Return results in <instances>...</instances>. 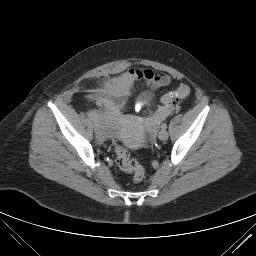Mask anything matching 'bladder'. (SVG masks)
I'll use <instances>...</instances> for the list:
<instances>
[{
    "label": "bladder",
    "mask_w": 256,
    "mask_h": 256,
    "mask_svg": "<svg viewBox=\"0 0 256 256\" xmlns=\"http://www.w3.org/2000/svg\"><path fill=\"white\" fill-rule=\"evenodd\" d=\"M152 97V94L150 92H145L142 95V98L145 100H149ZM96 117L99 121V124H101L105 136L108 138H117L119 136V129L112 117V115L108 112H97L95 113Z\"/></svg>",
    "instance_id": "bladder-1"
}]
</instances>
